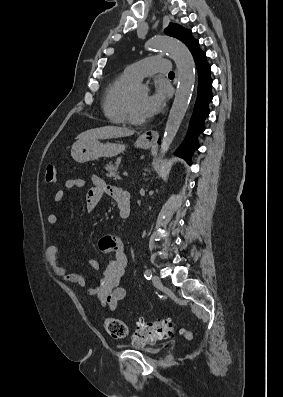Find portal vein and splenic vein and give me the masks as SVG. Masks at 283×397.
I'll use <instances>...</instances> for the list:
<instances>
[{"instance_id":"obj_1","label":"portal vein and splenic vein","mask_w":283,"mask_h":397,"mask_svg":"<svg viewBox=\"0 0 283 397\" xmlns=\"http://www.w3.org/2000/svg\"><path fill=\"white\" fill-rule=\"evenodd\" d=\"M123 175H124V176H128V173H127V172H123Z\"/></svg>"}]
</instances>
